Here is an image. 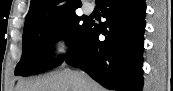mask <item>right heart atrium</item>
Masks as SVG:
<instances>
[{
	"label": "right heart atrium",
	"mask_w": 173,
	"mask_h": 91,
	"mask_svg": "<svg viewBox=\"0 0 173 91\" xmlns=\"http://www.w3.org/2000/svg\"><path fill=\"white\" fill-rule=\"evenodd\" d=\"M72 48V43L66 36L57 37L51 44V52L61 61L70 56Z\"/></svg>",
	"instance_id": "d8ad5b80"
}]
</instances>
